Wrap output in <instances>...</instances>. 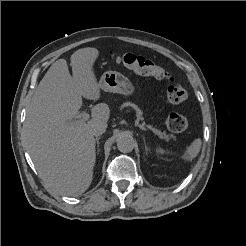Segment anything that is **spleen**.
<instances>
[{
    "label": "spleen",
    "instance_id": "3e777b00",
    "mask_svg": "<svg viewBox=\"0 0 246 246\" xmlns=\"http://www.w3.org/2000/svg\"><path fill=\"white\" fill-rule=\"evenodd\" d=\"M201 144H202V141H201L200 138L195 139L190 144V146L187 147V150H186L185 155L183 156V158L188 160V161H191L192 159H194L198 155V153L200 151ZM156 153L159 154V155H163L165 153V150L162 149V148H157L156 149Z\"/></svg>",
    "mask_w": 246,
    "mask_h": 246
}]
</instances>
